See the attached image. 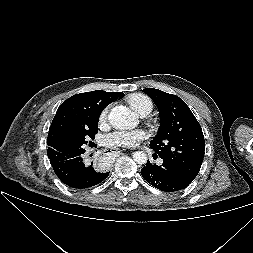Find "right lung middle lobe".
I'll use <instances>...</instances> for the list:
<instances>
[{
    "label": "right lung middle lobe",
    "instance_id": "1",
    "mask_svg": "<svg viewBox=\"0 0 253 253\" xmlns=\"http://www.w3.org/2000/svg\"><path fill=\"white\" fill-rule=\"evenodd\" d=\"M98 119L99 116H96L93 119L92 125L87 129L61 135L53 146V150L63 155L84 151V146L87 144V141L94 139V135L98 132Z\"/></svg>",
    "mask_w": 253,
    "mask_h": 253
}]
</instances>
